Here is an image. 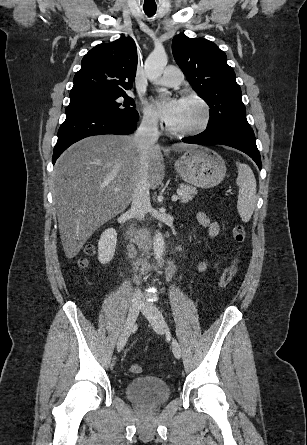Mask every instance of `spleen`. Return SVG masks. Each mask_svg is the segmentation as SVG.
<instances>
[{
	"label": "spleen",
	"mask_w": 307,
	"mask_h": 445,
	"mask_svg": "<svg viewBox=\"0 0 307 445\" xmlns=\"http://www.w3.org/2000/svg\"><path fill=\"white\" fill-rule=\"evenodd\" d=\"M236 184L239 186V196L237 210L243 220V223H249L255 208L257 196L256 178L252 168L248 164H238V176Z\"/></svg>",
	"instance_id": "3e777b00"
}]
</instances>
